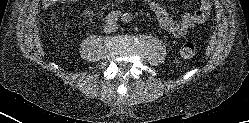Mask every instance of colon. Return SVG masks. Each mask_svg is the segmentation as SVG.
Listing matches in <instances>:
<instances>
[{
    "mask_svg": "<svg viewBox=\"0 0 249 123\" xmlns=\"http://www.w3.org/2000/svg\"><path fill=\"white\" fill-rule=\"evenodd\" d=\"M196 46L192 41H186L182 44L180 54L183 58H192L195 55Z\"/></svg>",
    "mask_w": 249,
    "mask_h": 123,
    "instance_id": "obj_1",
    "label": "colon"
}]
</instances>
